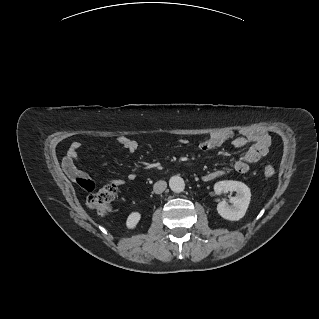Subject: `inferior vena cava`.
Wrapping results in <instances>:
<instances>
[{"label":"inferior vena cava","mask_w":319,"mask_h":319,"mask_svg":"<svg viewBox=\"0 0 319 319\" xmlns=\"http://www.w3.org/2000/svg\"><path fill=\"white\" fill-rule=\"evenodd\" d=\"M167 188V183L164 180H159L153 185V191L156 194H161Z\"/></svg>","instance_id":"1"}]
</instances>
